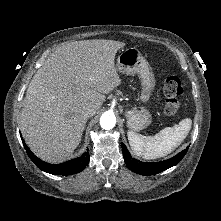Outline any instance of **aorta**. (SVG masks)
Wrapping results in <instances>:
<instances>
[{
    "instance_id": "1",
    "label": "aorta",
    "mask_w": 221,
    "mask_h": 221,
    "mask_svg": "<svg viewBox=\"0 0 221 221\" xmlns=\"http://www.w3.org/2000/svg\"><path fill=\"white\" fill-rule=\"evenodd\" d=\"M116 124V117L111 112H105L100 118V125L105 130L112 129Z\"/></svg>"
}]
</instances>
